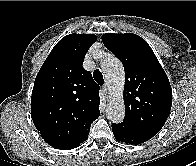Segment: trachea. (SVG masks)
<instances>
[{
    "mask_svg": "<svg viewBox=\"0 0 196 166\" xmlns=\"http://www.w3.org/2000/svg\"><path fill=\"white\" fill-rule=\"evenodd\" d=\"M93 77H94V79L96 80V82L99 85H103L104 84V78H103V75H102V73H101V71L99 69H96L93 72Z\"/></svg>",
    "mask_w": 196,
    "mask_h": 166,
    "instance_id": "trachea-1",
    "label": "trachea"
}]
</instances>
